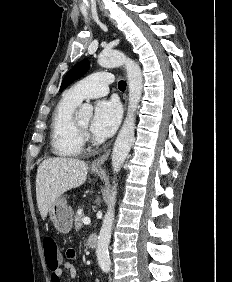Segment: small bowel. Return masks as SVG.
Returning a JSON list of instances; mask_svg holds the SVG:
<instances>
[{"mask_svg":"<svg viewBox=\"0 0 232 282\" xmlns=\"http://www.w3.org/2000/svg\"><path fill=\"white\" fill-rule=\"evenodd\" d=\"M65 255L67 261L64 262L63 265L59 267L57 270L52 271L50 278L51 282H66L63 277L64 272L68 273L72 279H75L77 277V269L73 263V260L76 257L75 251L73 249H68Z\"/></svg>","mask_w":232,"mask_h":282,"instance_id":"small-bowel-1","label":"small bowel"}]
</instances>
